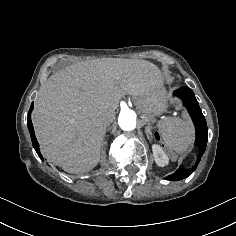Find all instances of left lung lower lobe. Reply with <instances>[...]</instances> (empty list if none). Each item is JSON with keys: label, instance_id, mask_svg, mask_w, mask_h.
<instances>
[{"label": "left lung lower lobe", "instance_id": "0a47b994", "mask_svg": "<svg viewBox=\"0 0 236 236\" xmlns=\"http://www.w3.org/2000/svg\"><path fill=\"white\" fill-rule=\"evenodd\" d=\"M174 96L179 97L183 100L185 107L187 108L196 128V141L195 145L198 147V154L196 157L195 164L189 169L179 167L178 170L172 175L167 176V180L178 181L190 176L197 168L202 155L205 152L207 141H208V129L205 117L199 107L198 101L191 89L188 87H181L180 89L173 92Z\"/></svg>", "mask_w": 236, "mask_h": 236}]
</instances>
